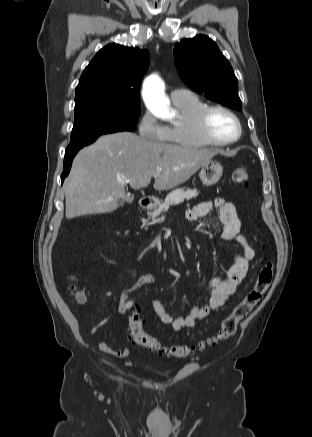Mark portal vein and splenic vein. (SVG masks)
Segmentation results:
<instances>
[{"instance_id": "18ae733b", "label": "portal vein and splenic vein", "mask_w": 312, "mask_h": 437, "mask_svg": "<svg viewBox=\"0 0 312 437\" xmlns=\"http://www.w3.org/2000/svg\"><path fill=\"white\" fill-rule=\"evenodd\" d=\"M160 171H161V169L159 170V172L154 173V174H153V177H154V178H157V177L160 175ZM120 182L123 183V184H126V183H127V181H124V180H120Z\"/></svg>"}]
</instances>
